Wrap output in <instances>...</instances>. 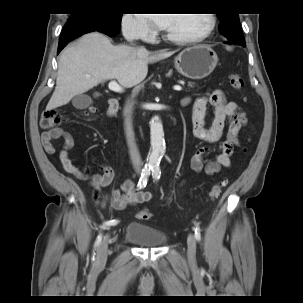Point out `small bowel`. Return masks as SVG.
<instances>
[{
  "instance_id": "small-bowel-1",
  "label": "small bowel",
  "mask_w": 303,
  "mask_h": 303,
  "mask_svg": "<svg viewBox=\"0 0 303 303\" xmlns=\"http://www.w3.org/2000/svg\"><path fill=\"white\" fill-rule=\"evenodd\" d=\"M214 107V118L209 128L205 127V115L207 105ZM91 110V108H90ZM246 121L245 114L237 103L227 102L221 90H214L205 95L193 99L192 133L193 135L210 145L198 148L190 158V168L193 172L217 173L222 167L231 165V155L237 145V136ZM226 122L229 129L225 137L223 130ZM63 138L64 143L59 151L56 150L54 140ZM41 142L43 149L48 154H57L64 170L74 176L85 179L89 184L99 190L110 185L114 179L111 167L102 165L101 173L85 176L71 161L69 157L73 146V138L60 128H53L42 133ZM217 151L218 154L208 157L207 155ZM132 179L125 180L118 188L109 192H103V204H109L117 210L125 209L151 200L150 192L139 191Z\"/></svg>"
}]
</instances>
